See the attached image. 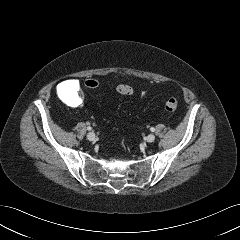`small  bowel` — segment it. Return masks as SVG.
I'll return each instance as SVG.
<instances>
[{
    "instance_id": "obj_1",
    "label": "small bowel",
    "mask_w": 240,
    "mask_h": 240,
    "mask_svg": "<svg viewBox=\"0 0 240 240\" xmlns=\"http://www.w3.org/2000/svg\"><path fill=\"white\" fill-rule=\"evenodd\" d=\"M72 83L73 89L62 90L60 86L61 94L70 102L80 105L82 103V95L80 94V86L77 80H69Z\"/></svg>"
}]
</instances>
